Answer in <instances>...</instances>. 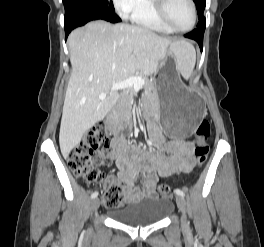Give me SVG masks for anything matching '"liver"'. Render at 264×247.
Segmentation results:
<instances>
[{"label": "liver", "mask_w": 264, "mask_h": 247, "mask_svg": "<svg viewBox=\"0 0 264 247\" xmlns=\"http://www.w3.org/2000/svg\"><path fill=\"white\" fill-rule=\"evenodd\" d=\"M176 43L144 27L102 20L71 32L68 47L72 70L59 134L65 158L117 102L119 94L111 90L113 84L137 71L144 76L156 73L168 48L174 49ZM101 93L107 95L103 100L99 99Z\"/></svg>", "instance_id": "1"}]
</instances>
